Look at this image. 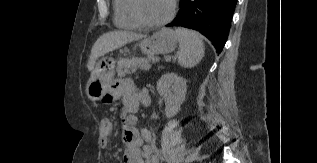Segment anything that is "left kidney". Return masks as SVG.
<instances>
[{
    "label": "left kidney",
    "mask_w": 317,
    "mask_h": 163,
    "mask_svg": "<svg viewBox=\"0 0 317 163\" xmlns=\"http://www.w3.org/2000/svg\"><path fill=\"white\" fill-rule=\"evenodd\" d=\"M157 91L165 100V114L170 118L178 113L181 104L185 101L186 80L176 73H166L158 80Z\"/></svg>",
    "instance_id": "left-kidney-1"
}]
</instances>
